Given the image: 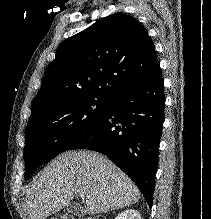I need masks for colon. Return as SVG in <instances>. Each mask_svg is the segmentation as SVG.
Wrapping results in <instances>:
<instances>
[{
	"label": "colon",
	"mask_w": 211,
	"mask_h": 219,
	"mask_svg": "<svg viewBox=\"0 0 211 219\" xmlns=\"http://www.w3.org/2000/svg\"><path fill=\"white\" fill-rule=\"evenodd\" d=\"M50 219H75V218L70 215H58ZM82 219H104V218L102 216H88Z\"/></svg>",
	"instance_id": "1"
}]
</instances>
